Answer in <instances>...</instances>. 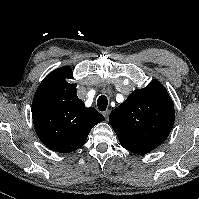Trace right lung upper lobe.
I'll return each instance as SVG.
<instances>
[{
  "label": "right lung upper lobe",
  "mask_w": 199,
  "mask_h": 199,
  "mask_svg": "<svg viewBox=\"0 0 199 199\" xmlns=\"http://www.w3.org/2000/svg\"><path fill=\"white\" fill-rule=\"evenodd\" d=\"M69 66L49 73L40 83L32 103V118L40 140L51 150L69 153L85 144L90 130L104 117L86 108L76 94Z\"/></svg>",
  "instance_id": "obj_1"
}]
</instances>
